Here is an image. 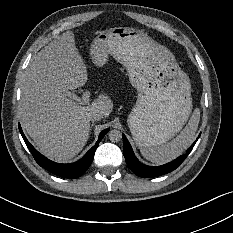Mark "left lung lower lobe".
<instances>
[{
	"mask_svg": "<svg viewBox=\"0 0 233 233\" xmlns=\"http://www.w3.org/2000/svg\"><path fill=\"white\" fill-rule=\"evenodd\" d=\"M122 136H123V154L125 156L127 165L136 175L147 178V177L161 176L178 168L180 164L184 161V159L188 156L190 151L192 150L193 146L199 139L200 134L198 138L196 139V141L187 150L186 154L179 156L172 162H169L165 165L154 166V167L143 165L134 155L132 147L130 143L128 142L127 138L124 135Z\"/></svg>",
	"mask_w": 233,
	"mask_h": 233,
	"instance_id": "obj_1",
	"label": "left lung lower lobe"
}]
</instances>
